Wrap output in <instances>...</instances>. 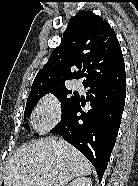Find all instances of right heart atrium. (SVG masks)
<instances>
[{
	"label": "right heart atrium",
	"mask_w": 138,
	"mask_h": 186,
	"mask_svg": "<svg viewBox=\"0 0 138 186\" xmlns=\"http://www.w3.org/2000/svg\"><path fill=\"white\" fill-rule=\"evenodd\" d=\"M61 117V103L50 93L40 99L35 108V124L40 130L53 127Z\"/></svg>",
	"instance_id": "obj_1"
}]
</instances>
